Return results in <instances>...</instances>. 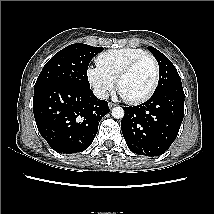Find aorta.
I'll return each mask as SVG.
<instances>
[{"instance_id": "obj_1", "label": "aorta", "mask_w": 214, "mask_h": 214, "mask_svg": "<svg viewBox=\"0 0 214 214\" xmlns=\"http://www.w3.org/2000/svg\"><path fill=\"white\" fill-rule=\"evenodd\" d=\"M112 116L116 119H121L124 116V110L122 107H114L112 109Z\"/></svg>"}]
</instances>
